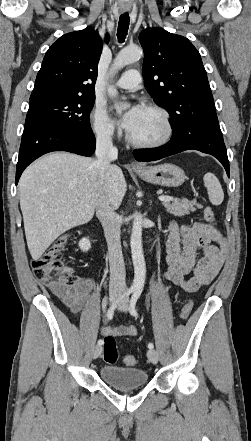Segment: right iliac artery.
Returning <instances> with one entry per match:
<instances>
[{"label":"right iliac artery","instance_id":"obj_1","mask_svg":"<svg viewBox=\"0 0 251 441\" xmlns=\"http://www.w3.org/2000/svg\"><path fill=\"white\" fill-rule=\"evenodd\" d=\"M134 291V289L133 288H130V289H128V290H126L111 306H110V308L108 309V311H107V318L109 319V320H111L112 318H113V315H114V311H115V309H116V307H117V305L123 300V299H125L126 297H128L132 292ZM103 344V340L102 339H100V340H98V345H102Z\"/></svg>","mask_w":251,"mask_h":441}]
</instances>
